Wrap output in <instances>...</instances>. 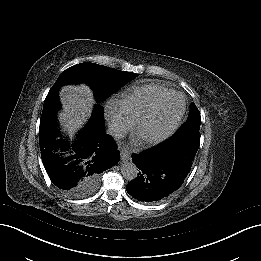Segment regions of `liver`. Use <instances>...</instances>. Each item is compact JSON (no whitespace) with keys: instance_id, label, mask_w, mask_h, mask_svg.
Segmentation results:
<instances>
[{"instance_id":"obj_1","label":"liver","mask_w":261,"mask_h":261,"mask_svg":"<svg viewBox=\"0 0 261 261\" xmlns=\"http://www.w3.org/2000/svg\"><path fill=\"white\" fill-rule=\"evenodd\" d=\"M60 99L63 111L59 114V120L64 131L70 138L91 117L95 100L92 90L85 84L79 86L67 85L60 91Z\"/></svg>"}]
</instances>
